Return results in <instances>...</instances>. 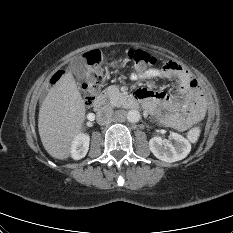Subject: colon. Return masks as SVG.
Returning <instances> with one entry per match:
<instances>
[{"mask_svg":"<svg viewBox=\"0 0 233 233\" xmlns=\"http://www.w3.org/2000/svg\"><path fill=\"white\" fill-rule=\"evenodd\" d=\"M86 62L93 68V71L82 84L83 99L90 105L95 96L104 86V77L99 71L100 54L97 51H90L84 56ZM128 58L138 70H148L157 64V59L150 53L141 49H130ZM64 75V71H58L51 79L50 83H57ZM190 142H196L200 137V128L195 126L187 134Z\"/></svg>","mask_w":233,"mask_h":233,"instance_id":"1","label":"colon"}]
</instances>
